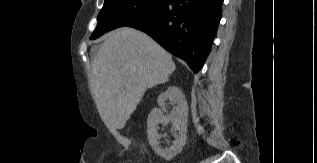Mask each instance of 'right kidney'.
<instances>
[{
	"label": "right kidney",
	"mask_w": 317,
	"mask_h": 163,
	"mask_svg": "<svg viewBox=\"0 0 317 163\" xmlns=\"http://www.w3.org/2000/svg\"><path fill=\"white\" fill-rule=\"evenodd\" d=\"M169 100L173 105V110L164 115L159 108H154L148 115L147 119V136L148 141L155 153L161 158L169 161L181 152L186 143L187 120H188V104L184 94L178 87L171 86L161 93L158 97V105L164 106ZM171 123L178 133L174 134L175 141L169 149H162L159 142L158 124Z\"/></svg>",
	"instance_id": "obj_1"
}]
</instances>
